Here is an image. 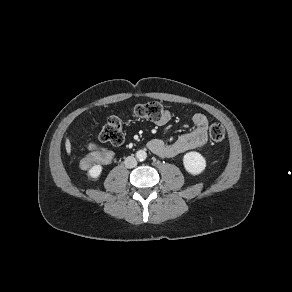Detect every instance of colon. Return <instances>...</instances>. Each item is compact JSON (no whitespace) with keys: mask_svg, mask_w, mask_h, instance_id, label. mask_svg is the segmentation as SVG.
Returning a JSON list of instances; mask_svg holds the SVG:
<instances>
[{"mask_svg":"<svg viewBox=\"0 0 292 292\" xmlns=\"http://www.w3.org/2000/svg\"><path fill=\"white\" fill-rule=\"evenodd\" d=\"M167 109L159 102H147L137 104L132 111L135 118L140 120H149L158 122L166 114ZM210 139L213 142H221L225 137V129L220 123H213L209 129ZM99 139L102 142H108L113 145H120L124 141L123 123L121 118L117 116H111L103 129L99 134ZM88 149L95 151L96 145L94 143L88 144ZM112 159L110 151L103 150L98 153H93L89 161H95L99 163H108Z\"/></svg>","mask_w":292,"mask_h":292,"instance_id":"colon-1","label":"colon"}]
</instances>
